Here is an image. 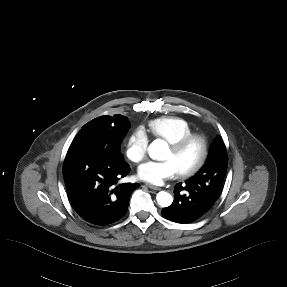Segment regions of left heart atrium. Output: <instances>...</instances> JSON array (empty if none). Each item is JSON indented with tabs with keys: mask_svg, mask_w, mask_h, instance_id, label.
<instances>
[{
	"mask_svg": "<svg viewBox=\"0 0 287 287\" xmlns=\"http://www.w3.org/2000/svg\"><path fill=\"white\" fill-rule=\"evenodd\" d=\"M177 175L178 170L172 161H148L143 163L137 171V176L141 181L152 185H160Z\"/></svg>",
	"mask_w": 287,
	"mask_h": 287,
	"instance_id": "1",
	"label": "left heart atrium"
}]
</instances>
